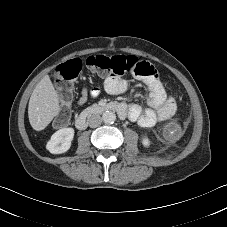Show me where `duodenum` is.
<instances>
[{
	"label": "duodenum",
	"instance_id": "obj_1",
	"mask_svg": "<svg viewBox=\"0 0 227 227\" xmlns=\"http://www.w3.org/2000/svg\"><path fill=\"white\" fill-rule=\"evenodd\" d=\"M107 111L116 112L119 115V117L122 119L126 118L127 116V108L125 105L120 103L110 102V103L101 104L95 108L89 109L83 114L79 115L75 121V126L77 127V129L83 130L87 128L93 113L95 112L102 113Z\"/></svg>",
	"mask_w": 227,
	"mask_h": 227
}]
</instances>
